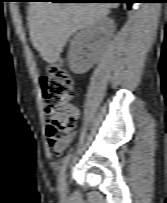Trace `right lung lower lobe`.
I'll use <instances>...</instances> for the list:
<instances>
[{
  "label": "right lung lower lobe",
  "instance_id": "98d812e1",
  "mask_svg": "<svg viewBox=\"0 0 167 203\" xmlns=\"http://www.w3.org/2000/svg\"><path fill=\"white\" fill-rule=\"evenodd\" d=\"M90 1V0H89ZM92 1V0H91ZM94 1V0H93ZM100 1V0H95ZM101 1H112L110 3H127L128 8L131 7L132 3L135 2V0H101Z\"/></svg>",
  "mask_w": 167,
  "mask_h": 203
}]
</instances>
